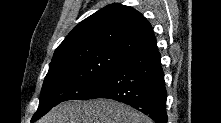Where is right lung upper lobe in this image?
Masks as SVG:
<instances>
[{"instance_id":"obj_1","label":"right lung upper lobe","mask_w":221,"mask_h":123,"mask_svg":"<svg viewBox=\"0 0 221 123\" xmlns=\"http://www.w3.org/2000/svg\"><path fill=\"white\" fill-rule=\"evenodd\" d=\"M96 48L129 56L157 47L151 24L144 16L129 6L111 4L79 23L57 47L53 58Z\"/></svg>"}]
</instances>
